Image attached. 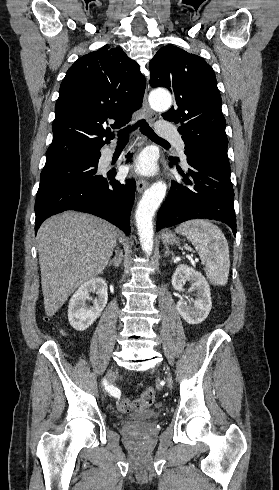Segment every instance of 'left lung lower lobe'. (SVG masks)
Returning a JSON list of instances; mask_svg holds the SVG:
<instances>
[{
    "instance_id": "left-lung-lower-lobe-1",
    "label": "left lung lower lobe",
    "mask_w": 279,
    "mask_h": 490,
    "mask_svg": "<svg viewBox=\"0 0 279 490\" xmlns=\"http://www.w3.org/2000/svg\"><path fill=\"white\" fill-rule=\"evenodd\" d=\"M188 167L181 168L170 158L182 175L172 182L169 194L157 218V231L190 219H213L227 224L236 236L234 191L230 180V164L208 152H191Z\"/></svg>"
}]
</instances>
